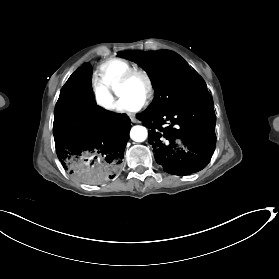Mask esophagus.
<instances>
[{
    "label": "esophagus",
    "instance_id": "esophagus-1",
    "mask_svg": "<svg viewBox=\"0 0 279 279\" xmlns=\"http://www.w3.org/2000/svg\"><path fill=\"white\" fill-rule=\"evenodd\" d=\"M130 119H131V121H132L133 123H138V122H139V121H138L135 117H133V116H131Z\"/></svg>",
    "mask_w": 279,
    "mask_h": 279
}]
</instances>
